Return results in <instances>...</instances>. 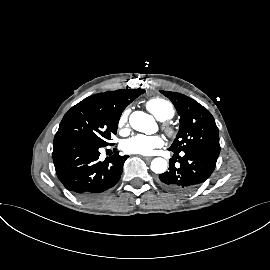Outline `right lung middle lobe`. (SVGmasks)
<instances>
[{
  "label": "right lung middle lobe",
  "mask_w": 270,
  "mask_h": 270,
  "mask_svg": "<svg viewBox=\"0 0 270 270\" xmlns=\"http://www.w3.org/2000/svg\"><path fill=\"white\" fill-rule=\"evenodd\" d=\"M120 116L86 98L65 114L54 139L75 137L105 147L117 132Z\"/></svg>",
  "instance_id": "1"
}]
</instances>
